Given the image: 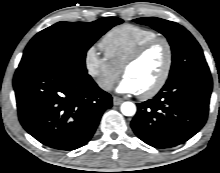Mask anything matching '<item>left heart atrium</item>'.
<instances>
[{
  "label": "left heart atrium",
  "mask_w": 220,
  "mask_h": 173,
  "mask_svg": "<svg viewBox=\"0 0 220 173\" xmlns=\"http://www.w3.org/2000/svg\"><path fill=\"white\" fill-rule=\"evenodd\" d=\"M117 91L124 94H138L139 90L134 82L128 77H124L117 86Z\"/></svg>",
  "instance_id": "39dd6f15"
}]
</instances>
